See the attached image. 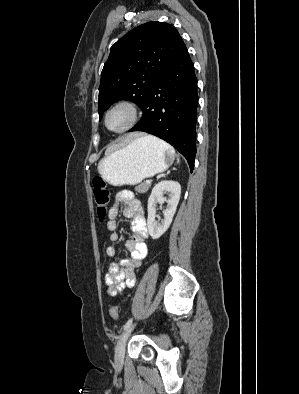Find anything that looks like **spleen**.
<instances>
[{
  "label": "spleen",
  "mask_w": 299,
  "mask_h": 394,
  "mask_svg": "<svg viewBox=\"0 0 299 394\" xmlns=\"http://www.w3.org/2000/svg\"><path fill=\"white\" fill-rule=\"evenodd\" d=\"M150 137H151V136H150ZM153 138H154V140H155L157 143H159V144L163 145L165 148L169 149V150L177 157V163H179V156L175 154L174 149H173L170 145H168L167 143H165L164 141H162V140H160V139H157V138H155V137H153Z\"/></svg>",
  "instance_id": "spleen-1"
}]
</instances>
